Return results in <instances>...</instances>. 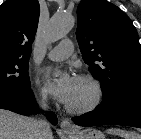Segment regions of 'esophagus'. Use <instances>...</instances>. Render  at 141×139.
<instances>
[{"label": "esophagus", "instance_id": "34e87169", "mask_svg": "<svg viewBox=\"0 0 141 139\" xmlns=\"http://www.w3.org/2000/svg\"><path fill=\"white\" fill-rule=\"evenodd\" d=\"M60 127L65 132L74 130V127L72 126V124L66 119L61 121Z\"/></svg>", "mask_w": 141, "mask_h": 139}]
</instances>
